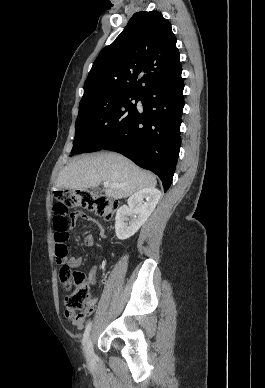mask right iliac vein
I'll list each match as a JSON object with an SVG mask.
<instances>
[{"label": "right iliac vein", "instance_id": "right-iliac-vein-1", "mask_svg": "<svg viewBox=\"0 0 265 388\" xmlns=\"http://www.w3.org/2000/svg\"><path fill=\"white\" fill-rule=\"evenodd\" d=\"M85 353H86L87 360L91 362L94 358V352H93L92 339L90 337L87 338L85 343Z\"/></svg>", "mask_w": 265, "mask_h": 388}]
</instances>
